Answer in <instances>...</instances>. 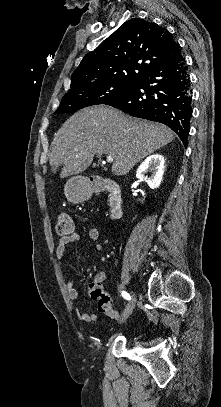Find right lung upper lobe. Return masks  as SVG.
Instances as JSON below:
<instances>
[{
    "label": "right lung upper lobe",
    "mask_w": 221,
    "mask_h": 407,
    "mask_svg": "<svg viewBox=\"0 0 221 407\" xmlns=\"http://www.w3.org/2000/svg\"><path fill=\"white\" fill-rule=\"evenodd\" d=\"M179 47L166 29L133 18L85 55L72 74L68 92L101 83H136Z\"/></svg>",
    "instance_id": "right-lung-upper-lobe-1"
}]
</instances>
